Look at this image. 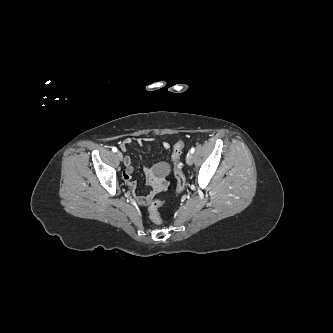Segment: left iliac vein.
I'll use <instances>...</instances> for the list:
<instances>
[{"label":"left iliac vein","instance_id":"1","mask_svg":"<svg viewBox=\"0 0 333 333\" xmlns=\"http://www.w3.org/2000/svg\"><path fill=\"white\" fill-rule=\"evenodd\" d=\"M186 163H187L188 165H192V164H193V155H192L191 152L188 153L187 156H186Z\"/></svg>","mask_w":333,"mask_h":333}]
</instances>
